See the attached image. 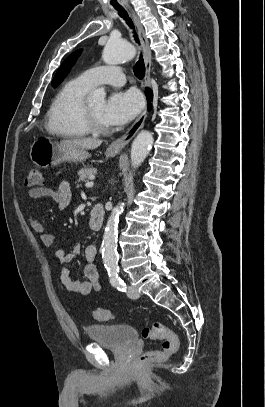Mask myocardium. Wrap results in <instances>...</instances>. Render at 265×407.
<instances>
[{
	"label": "myocardium",
	"mask_w": 265,
	"mask_h": 407,
	"mask_svg": "<svg viewBox=\"0 0 265 407\" xmlns=\"http://www.w3.org/2000/svg\"><path fill=\"white\" fill-rule=\"evenodd\" d=\"M80 118L86 130L91 134L106 135L111 131L110 127H104L97 121L86 103L81 106Z\"/></svg>",
	"instance_id": "obj_1"
}]
</instances>
